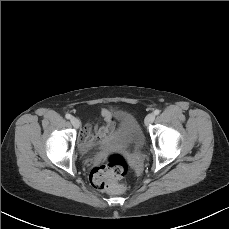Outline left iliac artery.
Instances as JSON below:
<instances>
[{
	"mask_svg": "<svg viewBox=\"0 0 229 229\" xmlns=\"http://www.w3.org/2000/svg\"><path fill=\"white\" fill-rule=\"evenodd\" d=\"M160 113V110L159 109H156L155 111H154V114L155 115H158Z\"/></svg>",
	"mask_w": 229,
	"mask_h": 229,
	"instance_id": "left-iliac-artery-1",
	"label": "left iliac artery"
}]
</instances>
